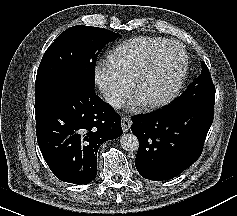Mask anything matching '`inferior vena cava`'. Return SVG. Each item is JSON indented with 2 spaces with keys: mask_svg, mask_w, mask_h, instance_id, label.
<instances>
[{
  "mask_svg": "<svg viewBox=\"0 0 237 216\" xmlns=\"http://www.w3.org/2000/svg\"><path fill=\"white\" fill-rule=\"evenodd\" d=\"M101 95L103 96L104 101L114 109H120L126 105L124 95L111 88L101 90Z\"/></svg>",
  "mask_w": 237,
  "mask_h": 216,
  "instance_id": "obj_1",
  "label": "inferior vena cava"
}]
</instances>
